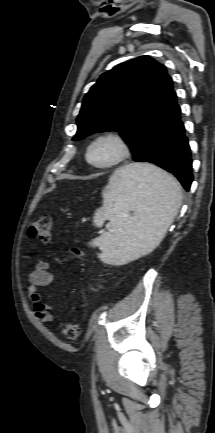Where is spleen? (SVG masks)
<instances>
[{"instance_id": "1", "label": "spleen", "mask_w": 215, "mask_h": 433, "mask_svg": "<svg viewBox=\"0 0 215 433\" xmlns=\"http://www.w3.org/2000/svg\"><path fill=\"white\" fill-rule=\"evenodd\" d=\"M103 206L93 222L110 220L112 231L101 234L90 245L99 247V258L123 264L151 253L163 240L182 202L179 183L151 164L132 163L120 167L102 192Z\"/></svg>"}]
</instances>
